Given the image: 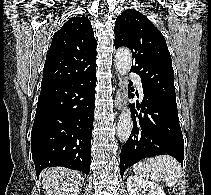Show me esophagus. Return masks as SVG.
<instances>
[{
    "label": "esophagus",
    "mask_w": 211,
    "mask_h": 195,
    "mask_svg": "<svg viewBox=\"0 0 211 195\" xmlns=\"http://www.w3.org/2000/svg\"><path fill=\"white\" fill-rule=\"evenodd\" d=\"M115 106L117 108L118 111H122L123 110V86L121 83H119L118 85V89L116 92V97H115Z\"/></svg>",
    "instance_id": "obj_1"
}]
</instances>
